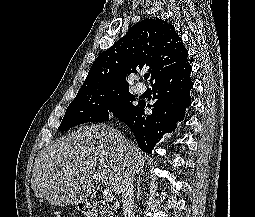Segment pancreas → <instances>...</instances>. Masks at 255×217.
<instances>
[{
	"label": "pancreas",
	"mask_w": 255,
	"mask_h": 217,
	"mask_svg": "<svg viewBox=\"0 0 255 217\" xmlns=\"http://www.w3.org/2000/svg\"><path fill=\"white\" fill-rule=\"evenodd\" d=\"M101 215L105 214V217H112V213L107 208H102Z\"/></svg>",
	"instance_id": "pancreas-1"
}]
</instances>
